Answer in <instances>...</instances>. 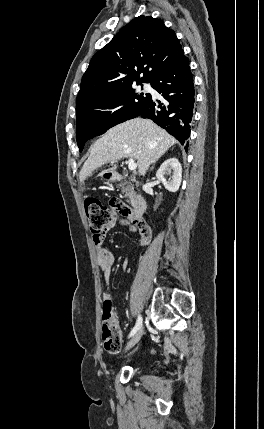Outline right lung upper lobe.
I'll list each match as a JSON object with an SVG mask.
<instances>
[{
  "label": "right lung upper lobe",
  "instance_id": "cb5924a9",
  "mask_svg": "<svg viewBox=\"0 0 264 429\" xmlns=\"http://www.w3.org/2000/svg\"><path fill=\"white\" fill-rule=\"evenodd\" d=\"M181 51L175 32L162 20L143 15L134 18L92 57L76 107L132 87L135 81L150 83Z\"/></svg>",
  "mask_w": 264,
  "mask_h": 429
}]
</instances>
